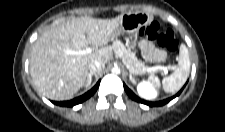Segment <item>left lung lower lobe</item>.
<instances>
[{"label": "left lung lower lobe", "mask_w": 225, "mask_h": 132, "mask_svg": "<svg viewBox=\"0 0 225 132\" xmlns=\"http://www.w3.org/2000/svg\"><path fill=\"white\" fill-rule=\"evenodd\" d=\"M124 88H125V91L127 92V94L129 95L130 98H132L133 100H135L137 102L146 104V105H148L150 107H152V106H162V105L170 102L173 98H175L176 96H178L182 92V90H183V88H182L175 96H173L171 98H168V99H165L163 101H159V102H148V101H145V100H142V99L138 98L125 84H124Z\"/></svg>", "instance_id": "1"}]
</instances>
